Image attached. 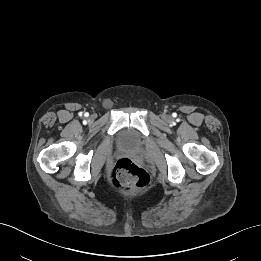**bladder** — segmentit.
I'll use <instances>...</instances> for the list:
<instances>
[{
  "instance_id": "obj_1",
  "label": "bladder",
  "mask_w": 261,
  "mask_h": 261,
  "mask_svg": "<svg viewBox=\"0 0 261 261\" xmlns=\"http://www.w3.org/2000/svg\"><path fill=\"white\" fill-rule=\"evenodd\" d=\"M120 147L127 150H135L141 145L138 133L132 128L122 129L117 138Z\"/></svg>"
}]
</instances>
